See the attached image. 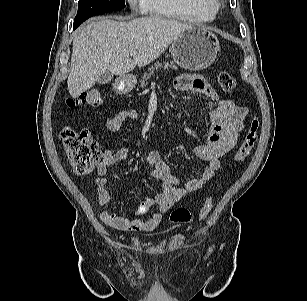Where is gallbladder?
<instances>
[{
	"label": "gallbladder",
	"mask_w": 307,
	"mask_h": 301,
	"mask_svg": "<svg viewBox=\"0 0 307 301\" xmlns=\"http://www.w3.org/2000/svg\"><path fill=\"white\" fill-rule=\"evenodd\" d=\"M112 78H113V74L111 72H105L99 77L98 83L107 84L112 80Z\"/></svg>",
	"instance_id": "gallbladder-1"
}]
</instances>
